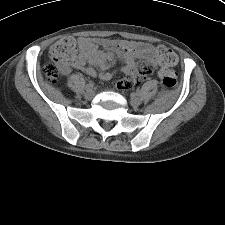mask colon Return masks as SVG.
Instances as JSON below:
<instances>
[{"instance_id": "5ec220e1", "label": "colon", "mask_w": 225, "mask_h": 225, "mask_svg": "<svg viewBox=\"0 0 225 225\" xmlns=\"http://www.w3.org/2000/svg\"><path fill=\"white\" fill-rule=\"evenodd\" d=\"M50 55L55 63H49L45 66L44 72L50 82H55L58 77V67L60 65H73L77 60V53L75 50V43L72 38L65 37L57 41L50 50ZM177 55L169 49H165L160 53L159 64L164 69L161 72L162 84L166 87L172 88L177 85L176 75L166 71L169 67L177 63ZM155 69V64L151 62H139L135 72L125 78L118 80L115 84L120 91H128L138 85L143 79L149 76Z\"/></svg>"}]
</instances>
